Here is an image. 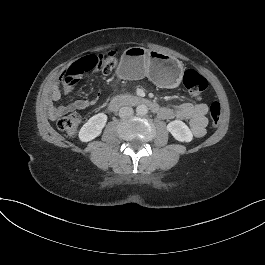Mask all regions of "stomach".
Instances as JSON below:
<instances>
[{"instance_id": "obj_1", "label": "stomach", "mask_w": 265, "mask_h": 265, "mask_svg": "<svg viewBox=\"0 0 265 265\" xmlns=\"http://www.w3.org/2000/svg\"><path fill=\"white\" fill-rule=\"evenodd\" d=\"M117 72L123 79L148 77L159 86L175 88L180 84L183 65L169 54L131 47L122 54Z\"/></svg>"}]
</instances>
